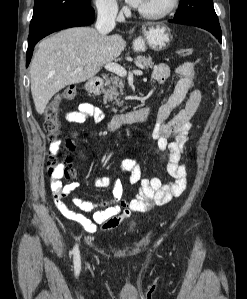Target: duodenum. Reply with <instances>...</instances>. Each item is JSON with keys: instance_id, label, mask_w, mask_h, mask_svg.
I'll list each match as a JSON object with an SVG mask.
<instances>
[{"instance_id": "1", "label": "duodenum", "mask_w": 247, "mask_h": 299, "mask_svg": "<svg viewBox=\"0 0 247 299\" xmlns=\"http://www.w3.org/2000/svg\"><path fill=\"white\" fill-rule=\"evenodd\" d=\"M101 77H93L86 83V91L90 94L95 93L102 86ZM151 110L149 107H144L138 110L130 111L115 115L109 122V128L111 130L117 129L121 126L136 123L145 122L149 119Z\"/></svg>"}]
</instances>
